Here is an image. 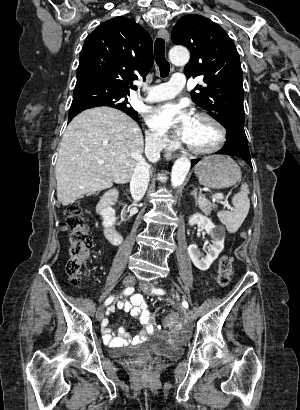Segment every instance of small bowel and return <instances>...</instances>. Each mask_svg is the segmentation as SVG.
<instances>
[{
  "mask_svg": "<svg viewBox=\"0 0 300 410\" xmlns=\"http://www.w3.org/2000/svg\"><path fill=\"white\" fill-rule=\"evenodd\" d=\"M116 309L123 310L137 318L142 325V329L134 337H130L123 327H119L117 333L113 334L108 327V320L105 319L102 331L106 343L111 346H121L129 342L137 343L146 340L149 335L155 333L154 317L148 310L146 301L142 295L135 294L129 301H120L116 305L110 306L108 308V314L115 312Z\"/></svg>",
  "mask_w": 300,
  "mask_h": 410,
  "instance_id": "small-bowel-1",
  "label": "small bowel"
}]
</instances>
